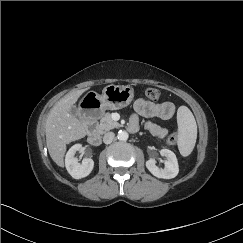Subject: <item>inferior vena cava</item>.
Returning <instances> with one entry per match:
<instances>
[{
	"label": "inferior vena cava",
	"instance_id": "1",
	"mask_svg": "<svg viewBox=\"0 0 243 243\" xmlns=\"http://www.w3.org/2000/svg\"><path fill=\"white\" fill-rule=\"evenodd\" d=\"M115 137V134L113 132H107L104 136H103V142L105 144H110L113 139Z\"/></svg>",
	"mask_w": 243,
	"mask_h": 243
}]
</instances>
